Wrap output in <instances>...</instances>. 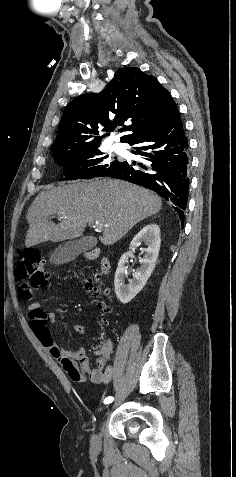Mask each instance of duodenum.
Masks as SVG:
<instances>
[{
  "instance_id": "duodenum-1",
  "label": "duodenum",
  "mask_w": 236,
  "mask_h": 477,
  "mask_svg": "<svg viewBox=\"0 0 236 477\" xmlns=\"http://www.w3.org/2000/svg\"><path fill=\"white\" fill-rule=\"evenodd\" d=\"M101 251L99 249H93L86 254V257L89 259H96L100 256ZM101 271L104 274H108L110 271V263L107 259H102L100 263Z\"/></svg>"
}]
</instances>
